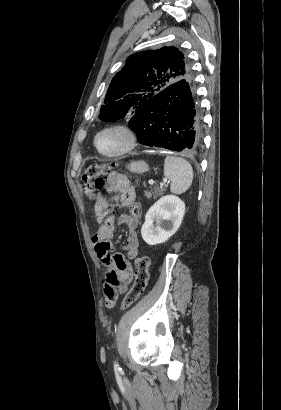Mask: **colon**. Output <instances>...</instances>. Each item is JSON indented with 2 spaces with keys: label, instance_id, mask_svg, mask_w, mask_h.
<instances>
[{
  "label": "colon",
  "instance_id": "5ec220e1",
  "mask_svg": "<svg viewBox=\"0 0 281 410\" xmlns=\"http://www.w3.org/2000/svg\"><path fill=\"white\" fill-rule=\"evenodd\" d=\"M110 171L111 167L104 164L92 165L85 171L82 180L85 185V193L88 197H92L93 191L96 188L100 189L103 186V178L109 174ZM130 209L132 213H138L139 206L132 204ZM135 266V280L122 300L121 307L123 309L131 307L141 297L147 286L149 258L145 255L139 256L135 261ZM106 305L108 307L113 305V299L111 297L106 301Z\"/></svg>",
  "mask_w": 281,
  "mask_h": 410
}]
</instances>
